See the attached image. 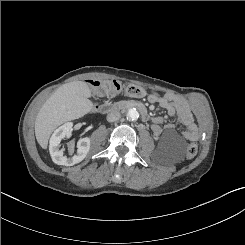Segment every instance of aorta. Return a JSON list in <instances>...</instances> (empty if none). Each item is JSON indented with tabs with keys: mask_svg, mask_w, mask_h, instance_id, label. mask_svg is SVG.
Masks as SVG:
<instances>
[{
	"mask_svg": "<svg viewBox=\"0 0 245 245\" xmlns=\"http://www.w3.org/2000/svg\"><path fill=\"white\" fill-rule=\"evenodd\" d=\"M139 117V113L135 108H129L126 112V118L129 121H135Z\"/></svg>",
	"mask_w": 245,
	"mask_h": 245,
	"instance_id": "1",
	"label": "aorta"
}]
</instances>
